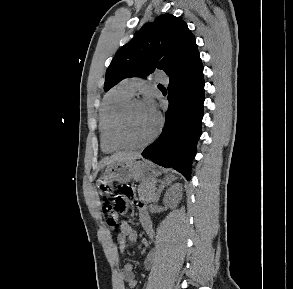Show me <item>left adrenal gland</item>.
<instances>
[{
  "label": "left adrenal gland",
  "mask_w": 293,
  "mask_h": 289,
  "mask_svg": "<svg viewBox=\"0 0 293 289\" xmlns=\"http://www.w3.org/2000/svg\"><path fill=\"white\" fill-rule=\"evenodd\" d=\"M176 179H177V177H175L174 175H170L167 178H165L164 180L160 181V185H159V188L157 190L158 197H157L156 202H158L160 194H161L162 190L164 189V187L170 185Z\"/></svg>",
  "instance_id": "1"
}]
</instances>
